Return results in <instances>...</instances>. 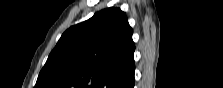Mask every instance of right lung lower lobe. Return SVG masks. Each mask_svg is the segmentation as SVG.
<instances>
[{
  "instance_id": "obj_1",
  "label": "right lung lower lobe",
  "mask_w": 223,
  "mask_h": 88,
  "mask_svg": "<svg viewBox=\"0 0 223 88\" xmlns=\"http://www.w3.org/2000/svg\"><path fill=\"white\" fill-rule=\"evenodd\" d=\"M134 82H135V80H133V82L130 83L129 86H128L127 88H134Z\"/></svg>"
}]
</instances>
